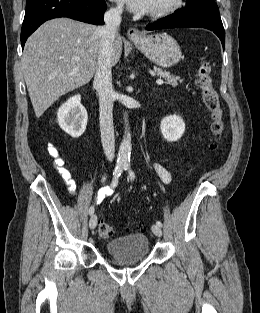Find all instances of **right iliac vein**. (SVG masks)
I'll list each match as a JSON object with an SVG mask.
<instances>
[{
	"label": "right iliac vein",
	"instance_id": "right-iliac-vein-1",
	"mask_svg": "<svg viewBox=\"0 0 260 313\" xmlns=\"http://www.w3.org/2000/svg\"><path fill=\"white\" fill-rule=\"evenodd\" d=\"M97 225V216L96 215H92L90 217V220H89V226L91 229H94Z\"/></svg>",
	"mask_w": 260,
	"mask_h": 313
}]
</instances>
